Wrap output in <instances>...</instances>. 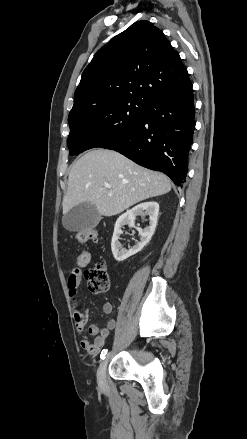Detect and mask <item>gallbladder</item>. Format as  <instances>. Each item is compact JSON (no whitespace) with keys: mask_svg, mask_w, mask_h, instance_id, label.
Here are the masks:
<instances>
[{"mask_svg":"<svg viewBox=\"0 0 247 439\" xmlns=\"http://www.w3.org/2000/svg\"><path fill=\"white\" fill-rule=\"evenodd\" d=\"M101 215L96 207L88 202L79 204L68 211L62 218V224L68 231H82L95 228Z\"/></svg>","mask_w":247,"mask_h":439,"instance_id":"gallbladder-1","label":"gallbladder"}]
</instances>
